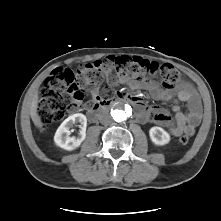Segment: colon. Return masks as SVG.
Instances as JSON below:
<instances>
[{
    "label": "colon",
    "instance_id": "colon-1",
    "mask_svg": "<svg viewBox=\"0 0 221 221\" xmlns=\"http://www.w3.org/2000/svg\"><path fill=\"white\" fill-rule=\"evenodd\" d=\"M112 69L122 71L136 82H148L151 77L158 76L167 89L174 88L183 78L182 71L171 64L159 65L136 57L105 58L80 66L76 70L55 68L44 82L37 108L42 127L50 128L62 121L68 110L78 108L87 91L102 81L105 71ZM106 94L112 95L113 91L107 89ZM188 141V134L179 137L181 144Z\"/></svg>",
    "mask_w": 221,
    "mask_h": 221
}]
</instances>
